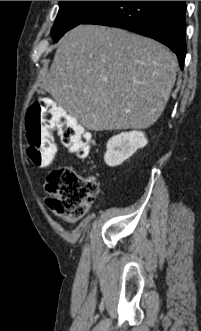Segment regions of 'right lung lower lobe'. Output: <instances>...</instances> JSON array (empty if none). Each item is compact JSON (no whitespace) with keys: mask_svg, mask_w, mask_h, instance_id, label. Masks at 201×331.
I'll return each mask as SVG.
<instances>
[{"mask_svg":"<svg viewBox=\"0 0 201 331\" xmlns=\"http://www.w3.org/2000/svg\"><path fill=\"white\" fill-rule=\"evenodd\" d=\"M185 1H109L82 24L126 29L174 51L183 69L186 55Z\"/></svg>","mask_w":201,"mask_h":331,"instance_id":"98d812e1","label":"right lung lower lobe"}]
</instances>
